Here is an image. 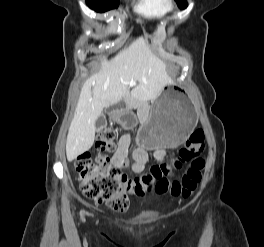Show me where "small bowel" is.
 Instances as JSON below:
<instances>
[{
	"instance_id": "c3829d8e",
	"label": "small bowel",
	"mask_w": 264,
	"mask_h": 247,
	"mask_svg": "<svg viewBox=\"0 0 264 247\" xmlns=\"http://www.w3.org/2000/svg\"><path fill=\"white\" fill-rule=\"evenodd\" d=\"M131 142V134L124 133L118 142L117 149L112 157V164L117 169H124L128 166V151ZM164 156L163 150H157L155 152V157L157 159H162ZM134 162L132 164V170L135 173H140L144 170L145 165L148 161V154L142 148H136L133 151Z\"/></svg>"
}]
</instances>
